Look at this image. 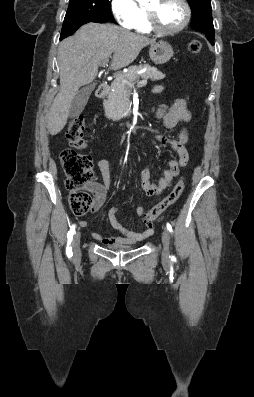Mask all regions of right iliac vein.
Returning a JSON list of instances; mask_svg holds the SVG:
<instances>
[{
	"mask_svg": "<svg viewBox=\"0 0 254 397\" xmlns=\"http://www.w3.org/2000/svg\"><path fill=\"white\" fill-rule=\"evenodd\" d=\"M80 240H81V234H80V232H77L74 235V239H73V243H72L74 259H79L81 256Z\"/></svg>",
	"mask_w": 254,
	"mask_h": 397,
	"instance_id": "1",
	"label": "right iliac vein"
}]
</instances>
